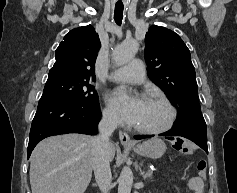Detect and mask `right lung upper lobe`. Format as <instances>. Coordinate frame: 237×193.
I'll return each instance as SVG.
<instances>
[{"label":"right lung upper lobe","mask_w":237,"mask_h":193,"mask_svg":"<svg viewBox=\"0 0 237 193\" xmlns=\"http://www.w3.org/2000/svg\"><path fill=\"white\" fill-rule=\"evenodd\" d=\"M100 40L91 26L75 28L67 33L56 49V62L49 73L94 79V64Z\"/></svg>","instance_id":"right-lung-upper-lobe-1"}]
</instances>
